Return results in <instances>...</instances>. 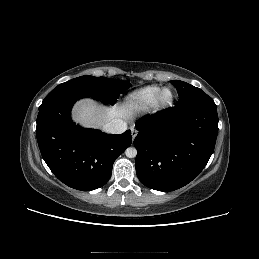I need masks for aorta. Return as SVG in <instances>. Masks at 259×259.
Listing matches in <instances>:
<instances>
[{
  "mask_svg": "<svg viewBox=\"0 0 259 259\" xmlns=\"http://www.w3.org/2000/svg\"><path fill=\"white\" fill-rule=\"evenodd\" d=\"M125 154L128 158H134L137 155V150L134 147H129L126 149Z\"/></svg>",
  "mask_w": 259,
  "mask_h": 259,
  "instance_id": "aorta-1",
  "label": "aorta"
}]
</instances>
